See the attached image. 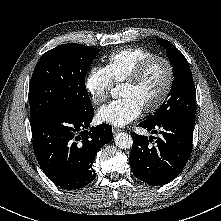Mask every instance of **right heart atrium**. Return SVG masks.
I'll use <instances>...</instances> for the list:
<instances>
[{"instance_id": "1", "label": "right heart atrium", "mask_w": 221, "mask_h": 221, "mask_svg": "<svg viewBox=\"0 0 221 221\" xmlns=\"http://www.w3.org/2000/svg\"><path fill=\"white\" fill-rule=\"evenodd\" d=\"M112 86L113 80L107 66L94 65L89 69L85 89L94 104L100 105L105 102Z\"/></svg>"}]
</instances>
